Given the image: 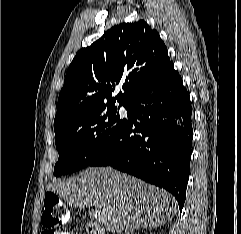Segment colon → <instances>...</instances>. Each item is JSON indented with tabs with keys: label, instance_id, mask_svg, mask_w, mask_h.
I'll return each mask as SVG.
<instances>
[{
	"label": "colon",
	"instance_id": "1",
	"mask_svg": "<svg viewBox=\"0 0 241 234\" xmlns=\"http://www.w3.org/2000/svg\"><path fill=\"white\" fill-rule=\"evenodd\" d=\"M44 205L45 209L42 215V224L47 230H52L69 220V210L56 194H47Z\"/></svg>",
	"mask_w": 241,
	"mask_h": 234
}]
</instances>
